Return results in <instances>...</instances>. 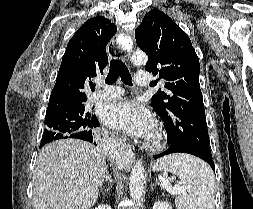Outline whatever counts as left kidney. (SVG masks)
I'll return each instance as SVG.
<instances>
[{
	"label": "left kidney",
	"instance_id": "left-kidney-1",
	"mask_svg": "<svg viewBox=\"0 0 253 209\" xmlns=\"http://www.w3.org/2000/svg\"><path fill=\"white\" fill-rule=\"evenodd\" d=\"M153 209H172L168 202L157 201L153 205Z\"/></svg>",
	"mask_w": 253,
	"mask_h": 209
}]
</instances>
